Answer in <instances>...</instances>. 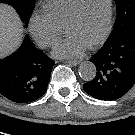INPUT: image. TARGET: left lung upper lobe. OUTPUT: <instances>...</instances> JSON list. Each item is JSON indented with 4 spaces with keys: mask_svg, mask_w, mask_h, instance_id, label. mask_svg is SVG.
I'll use <instances>...</instances> for the list:
<instances>
[{
    "mask_svg": "<svg viewBox=\"0 0 135 135\" xmlns=\"http://www.w3.org/2000/svg\"><path fill=\"white\" fill-rule=\"evenodd\" d=\"M117 7L116 21L108 39L123 36L135 26V0H115Z\"/></svg>",
    "mask_w": 135,
    "mask_h": 135,
    "instance_id": "left-lung-upper-lobe-1",
    "label": "left lung upper lobe"
}]
</instances>
